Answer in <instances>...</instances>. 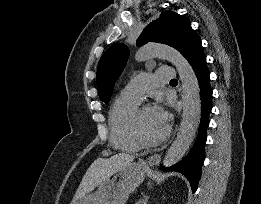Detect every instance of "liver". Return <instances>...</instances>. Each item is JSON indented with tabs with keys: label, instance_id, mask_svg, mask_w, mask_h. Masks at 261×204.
<instances>
[{
	"label": "liver",
	"instance_id": "6515ba94",
	"mask_svg": "<svg viewBox=\"0 0 261 204\" xmlns=\"http://www.w3.org/2000/svg\"><path fill=\"white\" fill-rule=\"evenodd\" d=\"M134 158V156L126 153H118L109 158H97L83 176L71 204L93 191L112 173L131 164Z\"/></svg>",
	"mask_w": 261,
	"mask_h": 204
}]
</instances>
